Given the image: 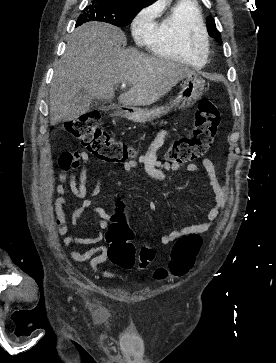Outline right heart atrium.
<instances>
[{
	"label": "right heart atrium",
	"mask_w": 276,
	"mask_h": 363,
	"mask_svg": "<svg viewBox=\"0 0 276 363\" xmlns=\"http://www.w3.org/2000/svg\"><path fill=\"white\" fill-rule=\"evenodd\" d=\"M155 7H149L139 12L132 22V34L138 42H146L154 29Z\"/></svg>",
	"instance_id": "right-heart-atrium-1"
}]
</instances>
